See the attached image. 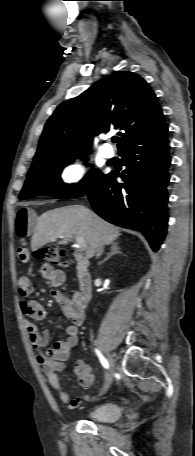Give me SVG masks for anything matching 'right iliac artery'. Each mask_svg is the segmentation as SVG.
<instances>
[{"label":"right iliac artery","instance_id":"right-iliac-artery-1","mask_svg":"<svg viewBox=\"0 0 195 456\" xmlns=\"http://www.w3.org/2000/svg\"><path fill=\"white\" fill-rule=\"evenodd\" d=\"M95 352H96L97 356L99 357V360H100L101 364H102L106 369H108V368H109V363H108V361L106 360V358H105L97 349H95Z\"/></svg>","mask_w":195,"mask_h":456}]
</instances>
